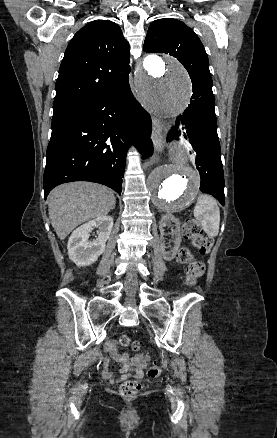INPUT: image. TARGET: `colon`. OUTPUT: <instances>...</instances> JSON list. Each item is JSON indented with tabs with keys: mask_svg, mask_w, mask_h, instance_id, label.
<instances>
[{
	"mask_svg": "<svg viewBox=\"0 0 277 438\" xmlns=\"http://www.w3.org/2000/svg\"><path fill=\"white\" fill-rule=\"evenodd\" d=\"M181 233L186 239L191 241L196 249L204 252L210 250L211 240L198 221L187 219L181 227ZM177 259L179 263L187 266L186 283L192 286L196 285L197 279L205 273L204 263L194 260L191 250L187 247H182L178 250ZM119 342L123 346L131 345L134 350L139 348V345L135 342L132 343L127 336H121ZM160 373L161 367L154 365L149 368L147 375L150 378H157ZM121 386L120 393L125 398H144L145 396V391L141 389L139 381L123 380Z\"/></svg>",
	"mask_w": 277,
	"mask_h": 438,
	"instance_id": "1",
	"label": "colon"
}]
</instances>
